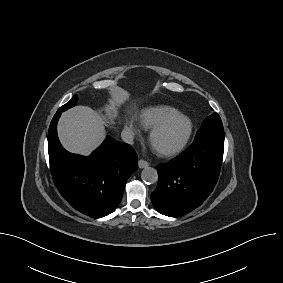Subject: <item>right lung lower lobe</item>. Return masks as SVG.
Here are the masks:
<instances>
[{
    "instance_id": "right-lung-lower-lobe-1",
    "label": "right lung lower lobe",
    "mask_w": 283,
    "mask_h": 283,
    "mask_svg": "<svg viewBox=\"0 0 283 283\" xmlns=\"http://www.w3.org/2000/svg\"><path fill=\"white\" fill-rule=\"evenodd\" d=\"M57 111L48 131V152L54 183L64 199L92 218L112 213L120 203L129 176L138 169V158L126 143L107 137L90 156L66 151L57 136Z\"/></svg>"
}]
</instances>
